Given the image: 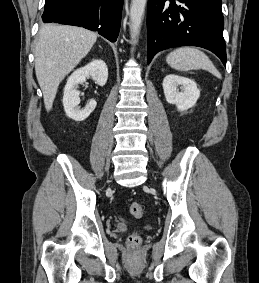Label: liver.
<instances>
[{"mask_svg":"<svg viewBox=\"0 0 259 283\" xmlns=\"http://www.w3.org/2000/svg\"><path fill=\"white\" fill-rule=\"evenodd\" d=\"M97 34L82 27L46 24L39 31L35 46V72L50 111L58 86L89 53Z\"/></svg>","mask_w":259,"mask_h":283,"instance_id":"1","label":"liver"}]
</instances>
